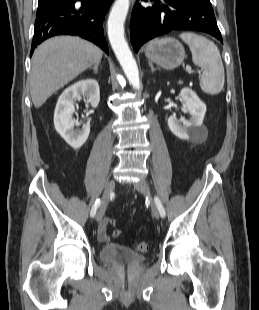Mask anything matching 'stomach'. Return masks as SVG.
<instances>
[{
  "mask_svg": "<svg viewBox=\"0 0 259 310\" xmlns=\"http://www.w3.org/2000/svg\"><path fill=\"white\" fill-rule=\"evenodd\" d=\"M145 55L149 61L164 69H174L184 60L185 51L178 40L164 38L150 42L145 49Z\"/></svg>",
  "mask_w": 259,
  "mask_h": 310,
  "instance_id": "0dacf381",
  "label": "stomach"
}]
</instances>
